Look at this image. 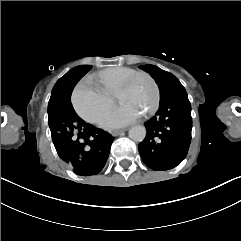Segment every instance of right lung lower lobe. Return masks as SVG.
Segmentation results:
<instances>
[{
  "label": "right lung lower lobe",
  "mask_w": 241,
  "mask_h": 241,
  "mask_svg": "<svg viewBox=\"0 0 241 241\" xmlns=\"http://www.w3.org/2000/svg\"><path fill=\"white\" fill-rule=\"evenodd\" d=\"M91 68L90 65L77 66L68 80L69 90L73 91ZM60 128L61 132L53 141L59 157L71 165L77 175L98 174L108 159L114 137L87 124L76 113L65 115Z\"/></svg>",
  "instance_id": "1"
}]
</instances>
